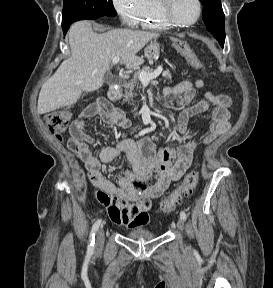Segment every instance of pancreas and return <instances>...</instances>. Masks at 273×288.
<instances>
[{"mask_svg":"<svg viewBox=\"0 0 273 288\" xmlns=\"http://www.w3.org/2000/svg\"><path fill=\"white\" fill-rule=\"evenodd\" d=\"M140 72L152 73L153 69L148 66H144L141 70L134 74V77L129 82L124 83L123 101H131L132 104H134L133 97L137 95L135 91L140 92L141 90V85L138 82V75ZM162 76L164 77V81H169L172 83V75L168 69L163 71Z\"/></svg>","mask_w":273,"mask_h":288,"instance_id":"cf45deb5","label":"pancreas"}]
</instances>
